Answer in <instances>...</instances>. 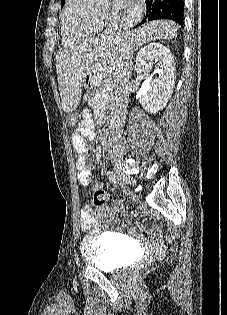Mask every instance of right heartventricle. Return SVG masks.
Masks as SVG:
<instances>
[{
    "mask_svg": "<svg viewBox=\"0 0 227 315\" xmlns=\"http://www.w3.org/2000/svg\"><path fill=\"white\" fill-rule=\"evenodd\" d=\"M102 24L97 12L86 6L83 0H65L61 12V38L66 47H71L96 36Z\"/></svg>",
    "mask_w": 227,
    "mask_h": 315,
    "instance_id": "1",
    "label": "right heart ventricle"
}]
</instances>
